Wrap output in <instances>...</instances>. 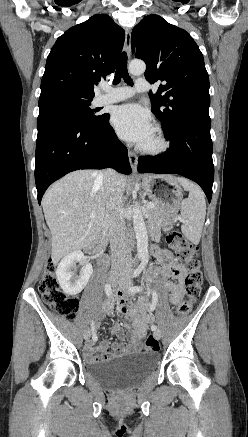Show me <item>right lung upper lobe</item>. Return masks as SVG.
<instances>
[{
  "label": "right lung upper lobe",
  "instance_id": "1",
  "mask_svg": "<svg viewBox=\"0 0 248 437\" xmlns=\"http://www.w3.org/2000/svg\"><path fill=\"white\" fill-rule=\"evenodd\" d=\"M124 39V30L106 14L68 29L48 55L40 96L66 92L93 98L94 84L115 71Z\"/></svg>",
  "mask_w": 248,
  "mask_h": 437
}]
</instances>
